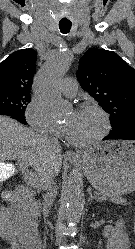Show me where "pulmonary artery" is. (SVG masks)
<instances>
[{
  "instance_id": "1",
  "label": "pulmonary artery",
  "mask_w": 135,
  "mask_h": 249,
  "mask_svg": "<svg viewBox=\"0 0 135 249\" xmlns=\"http://www.w3.org/2000/svg\"><path fill=\"white\" fill-rule=\"evenodd\" d=\"M78 85L73 77L65 78L60 84V91L66 97H74L77 94Z\"/></svg>"
}]
</instances>
